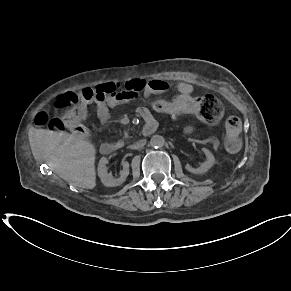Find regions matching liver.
<instances>
[{
    "mask_svg": "<svg viewBox=\"0 0 291 291\" xmlns=\"http://www.w3.org/2000/svg\"><path fill=\"white\" fill-rule=\"evenodd\" d=\"M29 142L36 160L45 161L62 179L84 189L96 186L95 146L64 131L31 129Z\"/></svg>",
    "mask_w": 291,
    "mask_h": 291,
    "instance_id": "1",
    "label": "liver"
}]
</instances>
